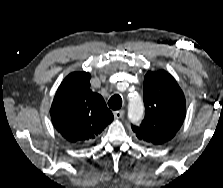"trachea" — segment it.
Segmentation results:
<instances>
[{
	"mask_svg": "<svg viewBox=\"0 0 223 188\" xmlns=\"http://www.w3.org/2000/svg\"><path fill=\"white\" fill-rule=\"evenodd\" d=\"M108 106L112 109V110H119L122 106V98L119 95H113L109 101H108Z\"/></svg>",
	"mask_w": 223,
	"mask_h": 188,
	"instance_id": "3493384b",
	"label": "trachea"
}]
</instances>
